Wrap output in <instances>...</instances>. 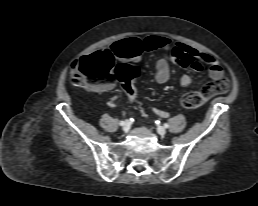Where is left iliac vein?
Wrapping results in <instances>:
<instances>
[{
	"label": "left iliac vein",
	"mask_w": 258,
	"mask_h": 206,
	"mask_svg": "<svg viewBox=\"0 0 258 206\" xmlns=\"http://www.w3.org/2000/svg\"><path fill=\"white\" fill-rule=\"evenodd\" d=\"M157 132L160 134V135H165L166 134V129L162 126H158L157 127Z\"/></svg>",
	"instance_id": "obj_1"
}]
</instances>
